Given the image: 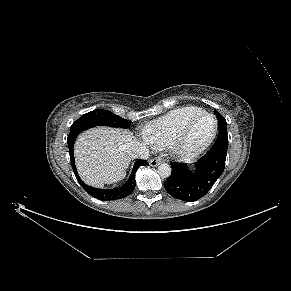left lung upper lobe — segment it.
Returning a JSON list of instances; mask_svg holds the SVG:
<instances>
[{"instance_id": "left-lung-upper-lobe-1", "label": "left lung upper lobe", "mask_w": 291, "mask_h": 291, "mask_svg": "<svg viewBox=\"0 0 291 291\" xmlns=\"http://www.w3.org/2000/svg\"><path fill=\"white\" fill-rule=\"evenodd\" d=\"M214 114L218 119L219 132L227 133V123L225 118L217 110H214Z\"/></svg>"}]
</instances>
